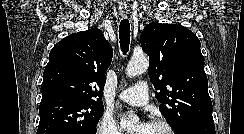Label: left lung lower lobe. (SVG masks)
Returning <instances> with one entry per match:
<instances>
[{"label":"left lung lower lobe","mask_w":244,"mask_h":134,"mask_svg":"<svg viewBox=\"0 0 244 134\" xmlns=\"http://www.w3.org/2000/svg\"><path fill=\"white\" fill-rule=\"evenodd\" d=\"M179 134H216L215 126L207 122H195L186 126Z\"/></svg>","instance_id":"1"}]
</instances>
